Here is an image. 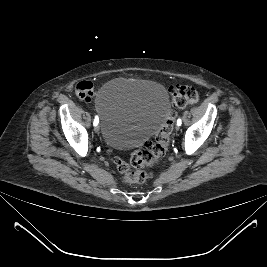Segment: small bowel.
<instances>
[{"label": "small bowel", "mask_w": 267, "mask_h": 267, "mask_svg": "<svg viewBox=\"0 0 267 267\" xmlns=\"http://www.w3.org/2000/svg\"><path fill=\"white\" fill-rule=\"evenodd\" d=\"M76 93L81 99L89 100L93 95V86L88 81H81L76 85Z\"/></svg>", "instance_id": "1"}]
</instances>
